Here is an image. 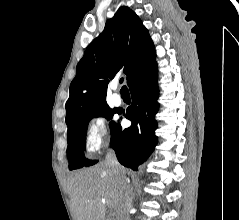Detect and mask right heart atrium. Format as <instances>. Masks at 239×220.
Masks as SVG:
<instances>
[{
	"instance_id": "1",
	"label": "right heart atrium",
	"mask_w": 239,
	"mask_h": 220,
	"mask_svg": "<svg viewBox=\"0 0 239 220\" xmlns=\"http://www.w3.org/2000/svg\"><path fill=\"white\" fill-rule=\"evenodd\" d=\"M107 124L101 115L92 116L86 126L85 148L88 153L98 151L107 141Z\"/></svg>"
}]
</instances>
